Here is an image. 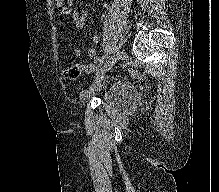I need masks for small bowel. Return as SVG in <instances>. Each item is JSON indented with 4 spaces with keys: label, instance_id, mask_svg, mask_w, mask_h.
<instances>
[{
    "label": "small bowel",
    "instance_id": "1",
    "mask_svg": "<svg viewBox=\"0 0 219 192\" xmlns=\"http://www.w3.org/2000/svg\"><path fill=\"white\" fill-rule=\"evenodd\" d=\"M62 5V4H61ZM71 6V0H68V5L67 6H64L62 9H61V15H68L72 12V22L75 24V27L78 29V30H83L86 28L87 26V20H88V16H89V13L87 10L83 9V10H80V11H76V10H71L70 8ZM99 37L98 36H94L93 37V43L94 44H98L99 43ZM75 55L76 56H81L82 52L80 49H75ZM88 57L89 59H91L95 64H97L99 62V54L97 52V50L95 49H91L89 50L88 52ZM85 70H92L93 69V66L90 65V66H85L84 67Z\"/></svg>",
    "mask_w": 219,
    "mask_h": 192
}]
</instances>
